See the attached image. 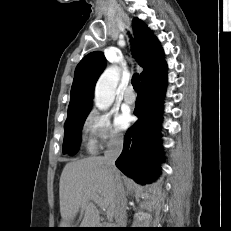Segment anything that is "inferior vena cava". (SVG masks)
<instances>
[{
	"label": "inferior vena cava",
	"mask_w": 231,
	"mask_h": 231,
	"mask_svg": "<svg viewBox=\"0 0 231 231\" xmlns=\"http://www.w3.org/2000/svg\"><path fill=\"white\" fill-rule=\"evenodd\" d=\"M123 148V136L119 133H114L108 144L107 149L104 152L103 160L107 166L108 172L114 177L115 183V199H114V216L119 228H124L127 223L126 206L127 199L124 191V187L116 175L117 169L115 161L119 157Z\"/></svg>",
	"instance_id": "inferior-vena-cava-1"
}]
</instances>
